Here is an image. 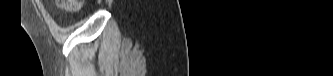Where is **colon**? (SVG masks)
Returning a JSON list of instances; mask_svg holds the SVG:
<instances>
[{"mask_svg":"<svg viewBox=\"0 0 333 76\" xmlns=\"http://www.w3.org/2000/svg\"><path fill=\"white\" fill-rule=\"evenodd\" d=\"M80 0H57V6L60 9L63 10H67V11H75L77 9H79L80 5H81Z\"/></svg>","mask_w":333,"mask_h":76,"instance_id":"obj_1","label":"colon"}]
</instances>
